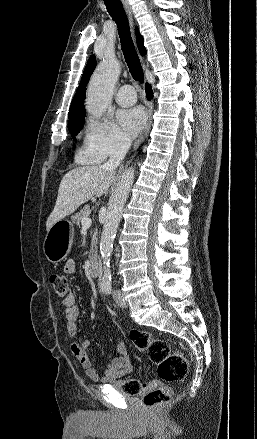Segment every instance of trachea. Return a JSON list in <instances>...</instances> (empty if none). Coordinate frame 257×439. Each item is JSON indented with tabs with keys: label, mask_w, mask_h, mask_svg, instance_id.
Wrapping results in <instances>:
<instances>
[{
	"label": "trachea",
	"mask_w": 257,
	"mask_h": 439,
	"mask_svg": "<svg viewBox=\"0 0 257 439\" xmlns=\"http://www.w3.org/2000/svg\"><path fill=\"white\" fill-rule=\"evenodd\" d=\"M104 3L107 7V11L117 24L123 55L129 71L135 81L143 83V69L133 44L129 22L122 3L120 0H104Z\"/></svg>",
	"instance_id": "trachea-1"
}]
</instances>
